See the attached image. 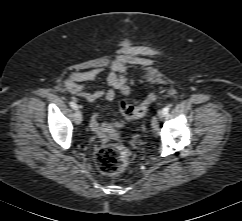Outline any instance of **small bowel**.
<instances>
[{
  "label": "small bowel",
  "mask_w": 242,
  "mask_h": 221,
  "mask_svg": "<svg viewBox=\"0 0 242 221\" xmlns=\"http://www.w3.org/2000/svg\"><path fill=\"white\" fill-rule=\"evenodd\" d=\"M136 62L137 58L130 53L119 55L110 66V72L107 76V88L87 91L84 86L85 83L93 81L99 77L102 73L101 68L69 72L64 81L65 88L72 95L89 102H94L101 98L113 101L117 92H120L123 95L129 94L130 84L127 82L125 76L126 67L127 65L135 64ZM111 127L110 123L102 121L97 114L93 115L89 121V128L94 133H107L111 130Z\"/></svg>",
  "instance_id": "small-bowel-1"
}]
</instances>
